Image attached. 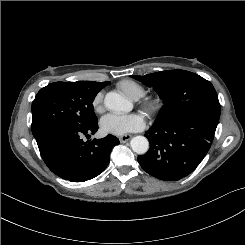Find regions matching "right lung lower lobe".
Segmentation results:
<instances>
[{"label":"right lung lower lobe","mask_w":245,"mask_h":245,"mask_svg":"<svg viewBox=\"0 0 245 245\" xmlns=\"http://www.w3.org/2000/svg\"><path fill=\"white\" fill-rule=\"evenodd\" d=\"M98 124L85 129L52 125L35 139L41 157L57 176L72 182H82L98 176L110 161L111 149L119 139L107 135L102 139L84 142L82 136L94 134Z\"/></svg>","instance_id":"98d812e1"}]
</instances>
